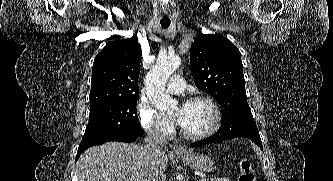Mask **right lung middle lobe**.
<instances>
[{"mask_svg":"<svg viewBox=\"0 0 333 181\" xmlns=\"http://www.w3.org/2000/svg\"><path fill=\"white\" fill-rule=\"evenodd\" d=\"M137 99H125L91 107L89 123L80 144L144 134L136 115Z\"/></svg>","mask_w":333,"mask_h":181,"instance_id":"right-lung-middle-lobe-1","label":"right lung middle lobe"}]
</instances>
